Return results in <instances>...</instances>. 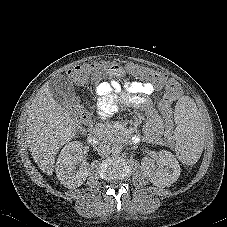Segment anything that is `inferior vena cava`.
<instances>
[{
	"mask_svg": "<svg viewBox=\"0 0 227 227\" xmlns=\"http://www.w3.org/2000/svg\"><path fill=\"white\" fill-rule=\"evenodd\" d=\"M98 154L101 156V157H107L108 155H110L111 153V148L108 144L106 143H101L99 146H98Z\"/></svg>",
	"mask_w": 227,
	"mask_h": 227,
	"instance_id": "inferior-vena-cava-1",
	"label": "inferior vena cava"
}]
</instances>
